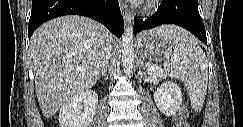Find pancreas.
<instances>
[{"mask_svg": "<svg viewBox=\"0 0 243 127\" xmlns=\"http://www.w3.org/2000/svg\"><path fill=\"white\" fill-rule=\"evenodd\" d=\"M156 77H162L161 74H154Z\"/></svg>", "mask_w": 243, "mask_h": 127, "instance_id": "obj_1", "label": "pancreas"}]
</instances>
